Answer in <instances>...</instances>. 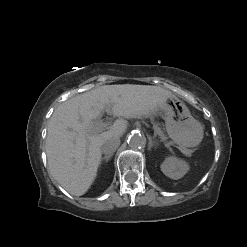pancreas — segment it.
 Masks as SVG:
<instances>
[{
	"instance_id": "obj_1",
	"label": "pancreas",
	"mask_w": 247,
	"mask_h": 247,
	"mask_svg": "<svg viewBox=\"0 0 247 247\" xmlns=\"http://www.w3.org/2000/svg\"><path fill=\"white\" fill-rule=\"evenodd\" d=\"M154 130H155V133L158 134L161 138L166 139L165 135L162 133V131L160 130V128H159L157 125L154 126ZM181 150H182L186 155H188V156L191 155V152H192L191 150L182 149V148H181Z\"/></svg>"
}]
</instances>
